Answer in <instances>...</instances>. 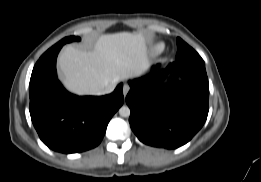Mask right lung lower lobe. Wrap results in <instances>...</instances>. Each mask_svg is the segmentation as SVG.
<instances>
[{"label":"right lung lower lobe","instance_id":"right-lung-lower-lobe-1","mask_svg":"<svg viewBox=\"0 0 261 182\" xmlns=\"http://www.w3.org/2000/svg\"><path fill=\"white\" fill-rule=\"evenodd\" d=\"M62 46L55 44L35 64L29 84V110L43 143L69 154L99 145L124 97L122 84L113 93L100 97H79L67 92L56 74V58Z\"/></svg>","mask_w":261,"mask_h":182}]
</instances>
